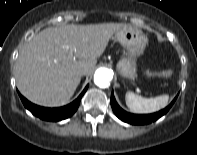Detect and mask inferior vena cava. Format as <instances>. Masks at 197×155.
Here are the masks:
<instances>
[{
    "label": "inferior vena cava",
    "mask_w": 197,
    "mask_h": 155,
    "mask_svg": "<svg viewBox=\"0 0 197 155\" xmlns=\"http://www.w3.org/2000/svg\"><path fill=\"white\" fill-rule=\"evenodd\" d=\"M78 74H79L80 76H84V75H87V71L84 70V69H82V70H80V71L78 72Z\"/></svg>",
    "instance_id": "obj_1"
}]
</instances>
